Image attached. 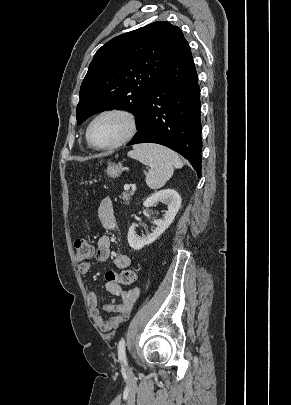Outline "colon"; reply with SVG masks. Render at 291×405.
<instances>
[{
	"label": "colon",
	"instance_id": "5ec220e1",
	"mask_svg": "<svg viewBox=\"0 0 291 405\" xmlns=\"http://www.w3.org/2000/svg\"><path fill=\"white\" fill-rule=\"evenodd\" d=\"M75 257L79 264L87 262L93 255L92 245L85 239H77L74 242ZM136 273L133 270L125 269L120 273L108 272L106 279L119 285H130L136 281Z\"/></svg>",
	"mask_w": 291,
	"mask_h": 405
}]
</instances>
